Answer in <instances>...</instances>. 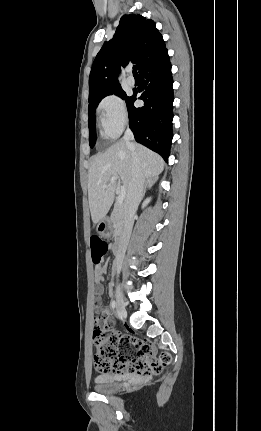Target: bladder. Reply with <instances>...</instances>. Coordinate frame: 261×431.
<instances>
[{"label": "bladder", "mask_w": 261, "mask_h": 431, "mask_svg": "<svg viewBox=\"0 0 261 431\" xmlns=\"http://www.w3.org/2000/svg\"><path fill=\"white\" fill-rule=\"evenodd\" d=\"M122 377L112 373L98 374L94 379V389L99 393H113L122 387Z\"/></svg>", "instance_id": "1"}]
</instances>
